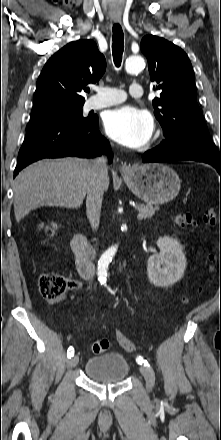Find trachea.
<instances>
[{
	"mask_svg": "<svg viewBox=\"0 0 221 440\" xmlns=\"http://www.w3.org/2000/svg\"><path fill=\"white\" fill-rule=\"evenodd\" d=\"M112 31H113V43H112L113 60L115 66L119 67L121 65L122 54L124 50V34L119 24H114Z\"/></svg>",
	"mask_w": 221,
	"mask_h": 440,
	"instance_id": "obj_1",
	"label": "trachea"
}]
</instances>
